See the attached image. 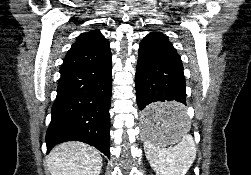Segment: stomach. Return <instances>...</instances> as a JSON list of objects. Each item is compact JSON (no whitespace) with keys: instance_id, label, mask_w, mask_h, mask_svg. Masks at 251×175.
Masks as SVG:
<instances>
[{"instance_id":"1","label":"stomach","mask_w":251,"mask_h":175,"mask_svg":"<svg viewBox=\"0 0 251 175\" xmlns=\"http://www.w3.org/2000/svg\"><path fill=\"white\" fill-rule=\"evenodd\" d=\"M180 105V100H158V105L145 106L141 115V134L143 141H160L161 147L179 141V134H193L189 128L186 114H150L155 111H185V106ZM169 128V129H149ZM149 134H165L164 136H149Z\"/></svg>"}]
</instances>
